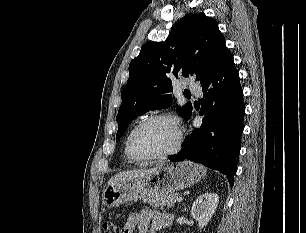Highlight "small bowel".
<instances>
[{
	"mask_svg": "<svg viewBox=\"0 0 306 233\" xmlns=\"http://www.w3.org/2000/svg\"><path fill=\"white\" fill-rule=\"evenodd\" d=\"M173 216L151 209H142L139 213L128 216L123 233H156L172 224Z\"/></svg>",
	"mask_w": 306,
	"mask_h": 233,
	"instance_id": "small-bowel-1",
	"label": "small bowel"
}]
</instances>
